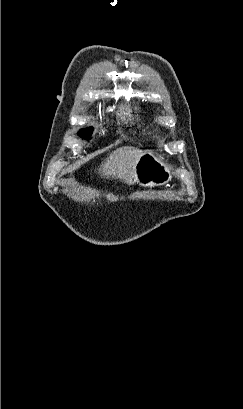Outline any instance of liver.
Returning a JSON list of instances; mask_svg holds the SVG:
<instances>
[{
  "instance_id": "1",
  "label": "liver",
  "mask_w": 243,
  "mask_h": 409,
  "mask_svg": "<svg viewBox=\"0 0 243 409\" xmlns=\"http://www.w3.org/2000/svg\"><path fill=\"white\" fill-rule=\"evenodd\" d=\"M142 151L133 147H123L112 152L101 164L99 173L104 177L119 178L127 184L136 182V163Z\"/></svg>"
}]
</instances>
